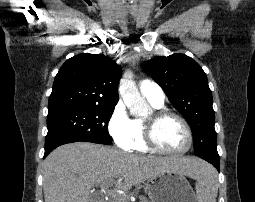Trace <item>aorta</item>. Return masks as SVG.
Listing matches in <instances>:
<instances>
[{
    "label": "aorta",
    "mask_w": 255,
    "mask_h": 202,
    "mask_svg": "<svg viewBox=\"0 0 255 202\" xmlns=\"http://www.w3.org/2000/svg\"><path fill=\"white\" fill-rule=\"evenodd\" d=\"M121 94L124 103L128 107L130 113L134 116L143 117L148 114L149 105L141 97L137 87L132 81L131 72L127 71L122 81Z\"/></svg>",
    "instance_id": "762f6f07"
}]
</instances>
